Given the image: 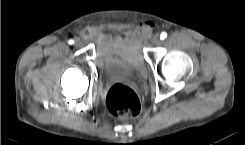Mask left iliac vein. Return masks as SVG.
Segmentation results:
<instances>
[{
  "label": "left iliac vein",
  "mask_w": 245,
  "mask_h": 145,
  "mask_svg": "<svg viewBox=\"0 0 245 145\" xmlns=\"http://www.w3.org/2000/svg\"><path fill=\"white\" fill-rule=\"evenodd\" d=\"M160 41H161L160 37L157 34L152 37V43L153 44L157 45L160 43Z\"/></svg>",
  "instance_id": "1"
}]
</instances>
